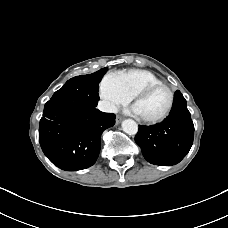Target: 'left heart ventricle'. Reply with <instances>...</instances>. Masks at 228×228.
<instances>
[{
    "mask_svg": "<svg viewBox=\"0 0 228 228\" xmlns=\"http://www.w3.org/2000/svg\"><path fill=\"white\" fill-rule=\"evenodd\" d=\"M170 102V94L165 88H158L142 98L135 105L137 114L144 118H154L161 115Z\"/></svg>",
    "mask_w": 228,
    "mask_h": 228,
    "instance_id": "1",
    "label": "left heart ventricle"
}]
</instances>
